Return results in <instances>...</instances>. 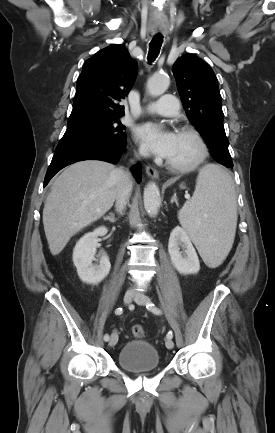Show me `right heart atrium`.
Returning a JSON list of instances; mask_svg holds the SVG:
<instances>
[{
  "mask_svg": "<svg viewBox=\"0 0 275 433\" xmlns=\"http://www.w3.org/2000/svg\"><path fill=\"white\" fill-rule=\"evenodd\" d=\"M139 153H140V154H144V153H145L144 149L140 148V149H139Z\"/></svg>",
  "mask_w": 275,
  "mask_h": 433,
  "instance_id": "right-heart-atrium-1",
  "label": "right heart atrium"
}]
</instances>
